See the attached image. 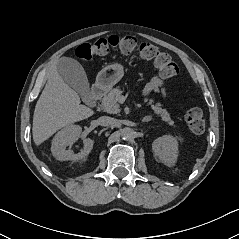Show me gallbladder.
Segmentation results:
<instances>
[{
  "label": "gallbladder",
  "instance_id": "bac80fb5",
  "mask_svg": "<svg viewBox=\"0 0 239 239\" xmlns=\"http://www.w3.org/2000/svg\"><path fill=\"white\" fill-rule=\"evenodd\" d=\"M56 68L62 79L82 96L85 103L92 101L86 73L77 60L63 57L58 60Z\"/></svg>",
  "mask_w": 239,
  "mask_h": 239
}]
</instances>
